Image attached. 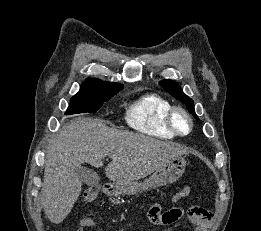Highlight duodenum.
Here are the masks:
<instances>
[{"label": "duodenum", "instance_id": "duodenum-1", "mask_svg": "<svg viewBox=\"0 0 261 231\" xmlns=\"http://www.w3.org/2000/svg\"><path fill=\"white\" fill-rule=\"evenodd\" d=\"M101 190H102V192H103L104 194H109V193H110V189H109V187H108L107 185H103V186L101 187Z\"/></svg>", "mask_w": 261, "mask_h": 231}]
</instances>
